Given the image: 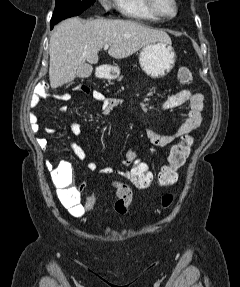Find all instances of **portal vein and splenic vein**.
Here are the masks:
<instances>
[{"instance_id":"portal-vein-and-splenic-vein-1","label":"portal vein and splenic vein","mask_w":240,"mask_h":287,"mask_svg":"<svg viewBox=\"0 0 240 287\" xmlns=\"http://www.w3.org/2000/svg\"><path fill=\"white\" fill-rule=\"evenodd\" d=\"M109 48V45H104V50H107Z\"/></svg>"}]
</instances>
